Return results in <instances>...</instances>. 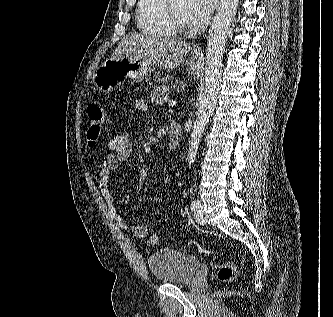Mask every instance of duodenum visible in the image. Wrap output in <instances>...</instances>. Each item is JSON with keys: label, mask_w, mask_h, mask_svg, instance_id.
<instances>
[{"label": "duodenum", "mask_w": 333, "mask_h": 317, "mask_svg": "<svg viewBox=\"0 0 333 317\" xmlns=\"http://www.w3.org/2000/svg\"><path fill=\"white\" fill-rule=\"evenodd\" d=\"M181 126L177 122H171L168 126V146L170 150H175L181 140Z\"/></svg>", "instance_id": "obj_1"}]
</instances>
